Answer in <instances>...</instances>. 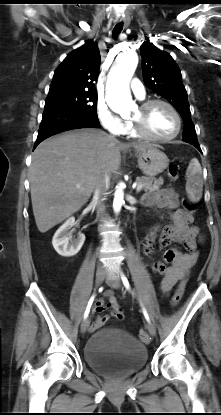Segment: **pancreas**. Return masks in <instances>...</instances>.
Masks as SVG:
<instances>
[{
	"label": "pancreas",
	"mask_w": 221,
	"mask_h": 415,
	"mask_svg": "<svg viewBox=\"0 0 221 415\" xmlns=\"http://www.w3.org/2000/svg\"><path fill=\"white\" fill-rule=\"evenodd\" d=\"M163 178L155 179L150 177L137 178V184H142L144 191H156L159 190L160 186L163 185Z\"/></svg>",
	"instance_id": "pancreas-1"
}]
</instances>
